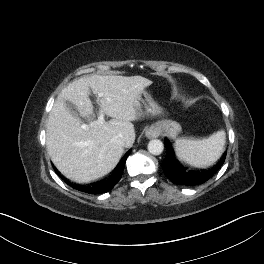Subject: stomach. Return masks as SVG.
Segmentation results:
<instances>
[{"label":"stomach","instance_id":"obj_1","mask_svg":"<svg viewBox=\"0 0 264 264\" xmlns=\"http://www.w3.org/2000/svg\"><path fill=\"white\" fill-rule=\"evenodd\" d=\"M140 102L142 103L145 114L156 115L161 113L162 109L147 91L141 93ZM155 127L160 133H164L172 138L176 137L182 131V127L179 123L167 119L157 122Z\"/></svg>","mask_w":264,"mask_h":264}]
</instances>
